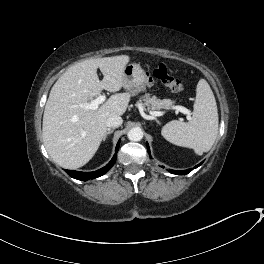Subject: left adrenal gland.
Instances as JSON below:
<instances>
[{
	"mask_svg": "<svg viewBox=\"0 0 264 264\" xmlns=\"http://www.w3.org/2000/svg\"><path fill=\"white\" fill-rule=\"evenodd\" d=\"M155 121H156L159 125L161 124L159 120L155 119Z\"/></svg>",
	"mask_w": 264,
	"mask_h": 264,
	"instance_id": "1",
	"label": "left adrenal gland"
}]
</instances>
